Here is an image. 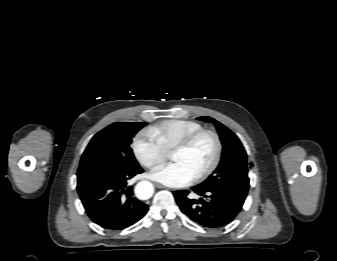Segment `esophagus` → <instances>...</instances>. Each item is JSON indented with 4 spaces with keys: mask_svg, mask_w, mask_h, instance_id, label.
Returning <instances> with one entry per match:
<instances>
[{
    "mask_svg": "<svg viewBox=\"0 0 337 261\" xmlns=\"http://www.w3.org/2000/svg\"><path fill=\"white\" fill-rule=\"evenodd\" d=\"M155 186L159 189H164L165 186H163L162 184H159V183H155Z\"/></svg>",
    "mask_w": 337,
    "mask_h": 261,
    "instance_id": "34e87169",
    "label": "esophagus"
}]
</instances>
